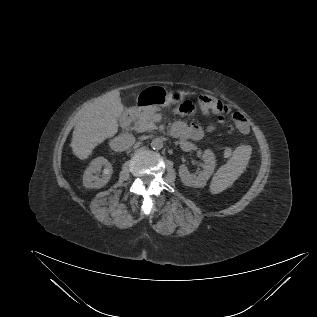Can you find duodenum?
<instances>
[{"label":"duodenum","mask_w":317,"mask_h":317,"mask_svg":"<svg viewBox=\"0 0 317 317\" xmlns=\"http://www.w3.org/2000/svg\"><path fill=\"white\" fill-rule=\"evenodd\" d=\"M133 113H134L133 108H129L123 113L121 120H120V124L123 128H127L128 126H130L131 121H132V117H133Z\"/></svg>","instance_id":"410a0bca"}]
</instances>
